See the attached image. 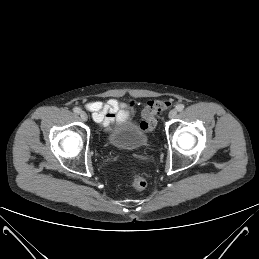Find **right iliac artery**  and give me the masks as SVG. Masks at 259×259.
<instances>
[{"mask_svg": "<svg viewBox=\"0 0 259 259\" xmlns=\"http://www.w3.org/2000/svg\"><path fill=\"white\" fill-rule=\"evenodd\" d=\"M73 111H74V113L79 114L81 110H80V108L75 107V108L73 109Z\"/></svg>", "mask_w": 259, "mask_h": 259, "instance_id": "obj_1", "label": "right iliac artery"}]
</instances>
